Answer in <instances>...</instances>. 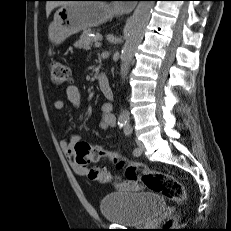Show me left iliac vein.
I'll use <instances>...</instances> for the list:
<instances>
[{
	"instance_id": "obj_1",
	"label": "left iliac vein",
	"mask_w": 231,
	"mask_h": 231,
	"mask_svg": "<svg viewBox=\"0 0 231 231\" xmlns=\"http://www.w3.org/2000/svg\"><path fill=\"white\" fill-rule=\"evenodd\" d=\"M136 144H137V148L140 151V153H142L144 151V144L142 141H140L139 139H136Z\"/></svg>"
}]
</instances>
